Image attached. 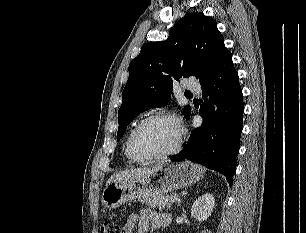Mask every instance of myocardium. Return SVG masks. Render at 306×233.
<instances>
[{
  "instance_id": "obj_1",
  "label": "myocardium",
  "mask_w": 306,
  "mask_h": 233,
  "mask_svg": "<svg viewBox=\"0 0 306 233\" xmlns=\"http://www.w3.org/2000/svg\"><path fill=\"white\" fill-rule=\"evenodd\" d=\"M159 119H167V120H172L174 121L177 126H178V137L177 141L174 145V147L166 152L163 153H156V154H150V155H141L139 154L135 147H134V139L137 135V133L148 123L154 121V120H159ZM183 143V130L178 122V119L171 113L169 112H158V113H153L144 119H142L136 126L132 129V131L129 134V137L127 139V151L129 156L134 160L138 162H144V161H150V160H156V159H162V158H167L170 156L175 155L178 153L181 149Z\"/></svg>"
}]
</instances>
